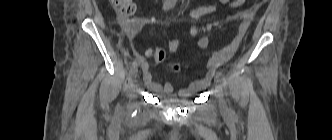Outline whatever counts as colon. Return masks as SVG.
<instances>
[{"label":"colon","mask_w":332,"mask_h":140,"mask_svg":"<svg viewBox=\"0 0 332 140\" xmlns=\"http://www.w3.org/2000/svg\"><path fill=\"white\" fill-rule=\"evenodd\" d=\"M267 0H254L255 4H261ZM113 7L124 17H130L134 14L136 7L133 0H110ZM211 25L199 26L196 24H189L188 30L192 35H199L207 31ZM156 62H162L165 59L166 53L163 49H155L151 52Z\"/></svg>","instance_id":"obj_1"}]
</instances>
